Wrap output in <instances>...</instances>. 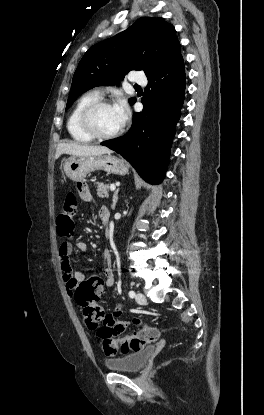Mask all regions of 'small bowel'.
Instances as JSON below:
<instances>
[{
  "label": "small bowel",
  "mask_w": 264,
  "mask_h": 415,
  "mask_svg": "<svg viewBox=\"0 0 264 415\" xmlns=\"http://www.w3.org/2000/svg\"><path fill=\"white\" fill-rule=\"evenodd\" d=\"M84 197L86 199H91V195L88 191L85 192ZM99 219L102 223H107L110 218V212L107 207L103 206L99 209L98 212ZM76 249L79 252H86L88 250V244L84 241H78L76 243ZM72 245L70 243H62L59 246V262L61 269L64 273V280L66 284V289L69 295L75 299L76 291L81 283L89 279L83 272L78 270H73L71 263V254H72ZM103 267L101 269V277H93L99 280L100 282V292L105 287H111L115 284V276L112 268V255L106 250L103 253ZM121 306L114 311L112 315H108L105 321V327L110 332V334L117 335L122 333L129 325L130 321L123 317Z\"/></svg>",
  "instance_id": "obj_1"
}]
</instances>
